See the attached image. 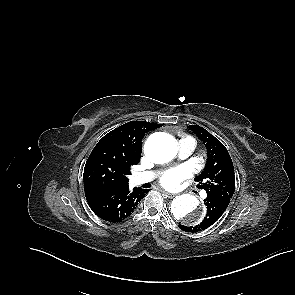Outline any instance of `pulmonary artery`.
I'll use <instances>...</instances> for the list:
<instances>
[{
  "mask_svg": "<svg viewBox=\"0 0 295 295\" xmlns=\"http://www.w3.org/2000/svg\"><path fill=\"white\" fill-rule=\"evenodd\" d=\"M195 148V141L191 138L182 139L179 143V157L184 159L188 157ZM154 172H142L134 175L133 180L136 184H143L146 182H150L155 177ZM202 197H206V193L203 192Z\"/></svg>",
  "mask_w": 295,
  "mask_h": 295,
  "instance_id": "e3ab8cb5",
  "label": "pulmonary artery"
}]
</instances>
